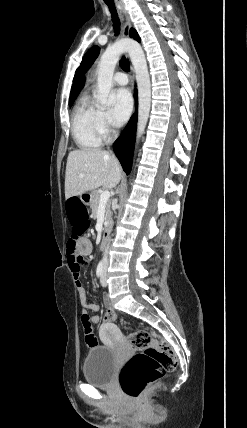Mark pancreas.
Returning <instances> with one entry per match:
<instances>
[{
    "instance_id": "pancreas-1",
    "label": "pancreas",
    "mask_w": 247,
    "mask_h": 428,
    "mask_svg": "<svg viewBox=\"0 0 247 428\" xmlns=\"http://www.w3.org/2000/svg\"><path fill=\"white\" fill-rule=\"evenodd\" d=\"M100 195H101V192L95 191L94 198L91 203V209H92L93 215H96L97 213V209L100 204ZM105 210H106V219L109 220L111 217V211H110V204L108 202L105 204Z\"/></svg>"
}]
</instances>
